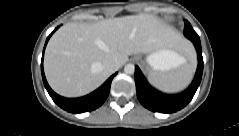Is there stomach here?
<instances>
[{
	"label": "stomach",
	"mask_w": 239,
	"mask_h": 136,
	"mask_svg": "<svg viewBox=\"0 0 239 136\" xmlns=\"http://www.w3.org/2000/svg\"><path fill=\"white\" fill-rule=\"evenodd\" d=\"M146 61L154 70L167 71L180 66L185 60L171 49L159 48L150 52Z\"/></svg>",
	"instance_id": "1"
}]
</instances>
